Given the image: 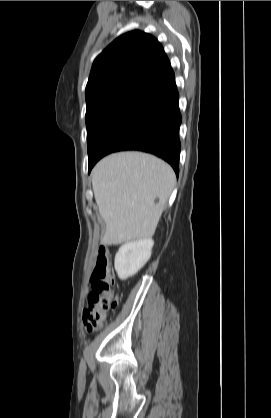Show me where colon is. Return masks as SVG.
<instances>
[{
	"label": "colon",
	"mask_w": 271,
	"mask_h": 418,
	"mask_svg": "<svg viewBox=\"0 0 271 418\" xmlns=\"http://www.w3.org/2000/svg\"><path fill=\"white\" fill-rule=\"evenodd\" d=\"M88 304L83 312V322L89 332L96 331L105 323L108 314L117 304L114 277L111 273L108 251L102 247L91 275Z\"/></svg>",
	"instance_id": "obj_1"
}]
</instances>
